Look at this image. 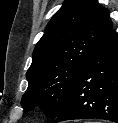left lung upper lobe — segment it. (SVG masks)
I'll return each instance as SVG.
<instances>
[{
  "mask_svg": "<svg viewBox=\"0 0 118 123\" xmlns=\"http://www.w3.org/2000/svg\"><path fill=\"white\" fill-rule=\"evenodd\" d=\"M112 29L109 11L97 0H65L33 51L21 103L37 104L55 119L65 106L82 68Z\"/></svg>",
  "mask_w": 118,
  "mask_h": 123,
  "instance_id": "left-lung-upper-lobe-1",
  "label": "left lung upper lobe"
}]
</instances>
